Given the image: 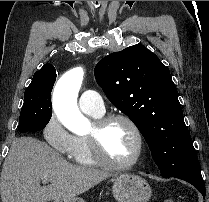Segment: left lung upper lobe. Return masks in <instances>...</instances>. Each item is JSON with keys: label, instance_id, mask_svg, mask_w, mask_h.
I'll return each mask as SVG.
<instances>
[{"label": "left lung upper lobe", "instance_id": "5c2ea615", "mask_svg": "<svg viewBox=\"0 0 209 202\" xmlns=\"http://www.w3.org/2000/svg\"><path fill=\"white\" fill-rule=\"evenodd\" d=\"M94 72L107 98L144 136L162 176L198 161L176 86L153 52L140 44L130 46L104 57Z\"/></svg>", "mask_w": 209, "mask_h": 202}]
</instances>
